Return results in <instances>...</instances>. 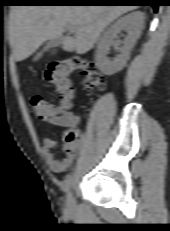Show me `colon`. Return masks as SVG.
<instances>
[{
  "label": "colon",
  "instance_id": "1",
  "mask_svg": "<svg viewBox=\"0 0 170 231\" xmlns=\"http://www.w3.org/2000/svg\"><path fill=\"white\" fill-rule=\"evenodd\" d=\"M77 71H80L83 76V86L86 90L105 88L104 77L92 62L71 57L51 63L45 71V77L58 93L61 106H55L41 96H33L31 104L39 119L49 122L69 105L73 97V76ZM81 138V130L76 126L70 127L65 133L66 147L74 146Z\"/></svg>",
  "mask_w": 170,
  "mask_h": 231
}]
</instances>
